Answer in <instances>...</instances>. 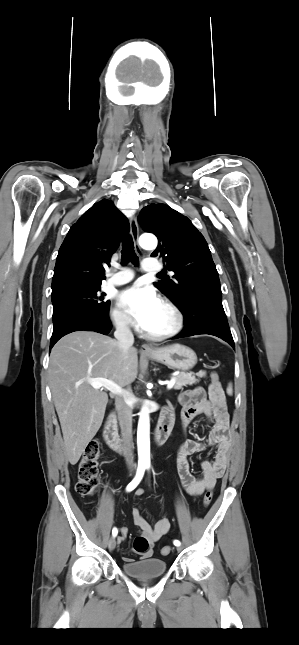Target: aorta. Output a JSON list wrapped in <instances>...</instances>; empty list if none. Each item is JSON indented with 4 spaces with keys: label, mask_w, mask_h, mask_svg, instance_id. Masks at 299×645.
Masks as SVG:
<instances>
[{
    "label": "aorta",
    "mask_w": 299,
    "mask_h": 645,
    "mask_svg": "<svg viewBox=\"0 0 299 645\" xmlns=\"http://www.w3.org/2000/svg\"><path fill=\"white\" fill-rule=\"evenodd\" d=\"M139 244L144 249H155L157 246V239L154 235L145 234L139 239ZM137 447L139 464L150 463V421L149 412L143 409L140 412L138 429H137Z\"/></svg>",
    "instance_id": "1"
}]
</instances>
